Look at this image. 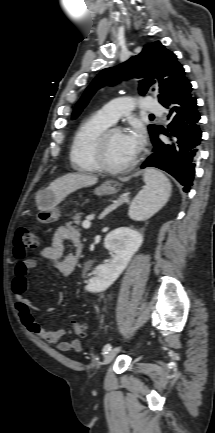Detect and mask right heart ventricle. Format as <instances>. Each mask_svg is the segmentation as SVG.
Masks as SVG:
<instances>
[{
  "instance_id": "obj_1",
  "label": "right heart ventricle",
  "mask_w": 215,
  "mask_h": 433,
  "mask_svg": "<svg viewBox=\"0 0 215 433\" xmlns=\"http://www.w3.org/2000/svg\"><path fill=\"white\" fill-rule=\"evenodd\" d=\"M112 123L96 112L83 121L77 129L70 148L73 168L81 172H96L98 168L94 149L98 137Z\"/></svg>"
}]
</instances>
